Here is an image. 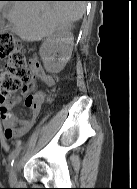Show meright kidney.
<instances>
[{"label":"right kidney","mask_w":137,"mask_h":189,"mask_svg":"<svg viewBox=\"0 0 137 189\" xmlns=\"http://www.w3.org/2000/svg\"><path fill=\"white\" fill-rule=\"evenodd\" d=\"M74 37L68 28L57 30L42 43L39 53L47 72L59 73L69 61Z\"/></svg>","instance_id":"right-kidney-1"}]
</instances>
